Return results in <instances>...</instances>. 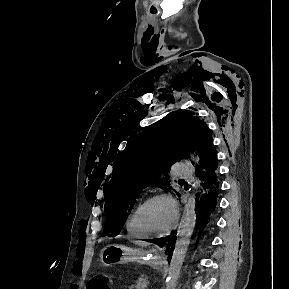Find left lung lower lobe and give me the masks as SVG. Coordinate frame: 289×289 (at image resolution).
Here are the masks:
<instances>
[{
	"label": "left lung lower lobe",
	"instance_id": "1",
	"mask_svg": "<svg viewBox=\"0 0 289 289\" xmlns=\"http://www.w3.org/2000/svg\"><path fill=\"white\" fill-rule=\"evenodd\" d=\"M218 159L216 149H212L208 154L200 169L196 171L201 181V192L196 196V215L198 224H200L199 237L205 227H208L212 221V215L216 207L217 197L219 193L218 182ZM198 237V240H199ZM197 240V242H198ZM176 241V235H170L164 238L155 240L157 243H167L169 250V257L172 255L174 249L173 245Z\"/></svg>",
	"mask_w": 289,
	"mask_h": 289
}]
</instances>
